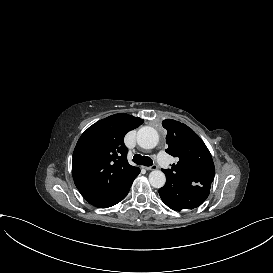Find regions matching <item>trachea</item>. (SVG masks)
Wrapping results in <instances>:
<instances>
[{
	"label": "trachea",
	"instance_id": "obj_1",
	"mask_svg": "<svg viewBox=\"0 0 273 273\" xmlns=\"http://www.w3.org/2000/svg\"><path fill=\"white\" fill-rule=\"evenodd\" d=\"M132 161L137 165H144L150 167L153 165V161L148 156H141L140 154H135Z\"/></svg>",
	"mask_w": 273,
	"mask_h": 273
}]
</instances>
